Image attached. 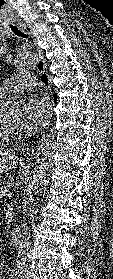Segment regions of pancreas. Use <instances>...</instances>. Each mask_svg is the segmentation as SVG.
<instances>
[{
    "mask_svg": "<svg viewBox=\"0 0 113 279\" xmlns=\"http://www.w3.org/2000/svg\"><path fill=\"white\" fill-rule=\"evenodd\" d=\"M1 183V187H0V197H2L3 195H5L8 191V188L10 187V182L7 179H4L3 182Z\"/></svg>",
    "mask_w": 113,
    "mask_h": 279,
    "instance_id": "cf45deb5",
    "label": "pancreas"
}]
</instances>
